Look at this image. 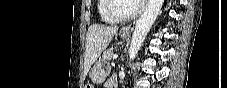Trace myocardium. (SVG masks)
Wrapping results in <instances>:
<instances>
[{
	"label": "myocardium",
	"instance_id": "obj_1",
	"mask_svg": "<svg viewBox=\"0 0 227 88\" xmlns=\"http://www.w3.org/2000/svg\"><path fill=\"white\" fill-rule=\"evenodd\" d=\"M116 1L119 0H107L106 12L117 23H123L132 20L136 18L142 11V6L136 4L135 10L132 13L126 16H120L114 10V5Z\"/></svg>",
	"mask_w": 227,
	"mask_h": 88
}]
</instances>
